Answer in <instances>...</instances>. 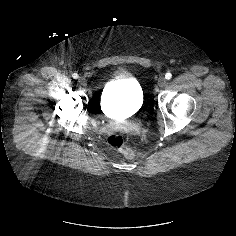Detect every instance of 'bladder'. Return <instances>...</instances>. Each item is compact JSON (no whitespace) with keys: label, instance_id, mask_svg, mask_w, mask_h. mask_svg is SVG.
<instances>
[{"label":"bladder","instance_id":"1","mask_svg":"<svg viewBox=\"0 0 236 236\" xmlns=\"http://www.w3.org/2000/svg\"><path fill=\"white\" fill-rule=\"evenodd\" d=\"M143 90L134 78L112 80L102 91L100 107L116 114L136 113L143 105Z\"/></svg>","mask_w":236,"mask_h":236}]
</instances>
